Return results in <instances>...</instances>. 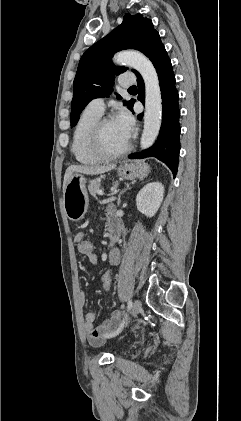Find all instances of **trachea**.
<instances>
[{"label":"trachea","instance_id":"trachea-1","mask_svg":"<svg viewBox=\"0 0 241 421\" xmlns=\"http://www.w3.org/2000/svg\"><path fill=\"white\" fill-rule=\"evenodd\" d=\"M136 89H137L136 86H132L129 88V90H136Z\"/></svg>","mask_w":241,"mask_h":421}]
</instances>
